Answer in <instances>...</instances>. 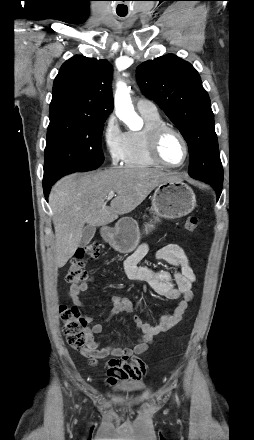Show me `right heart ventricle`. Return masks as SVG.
I'll return each instance as SVG.
<instances>
[{
  "label": "right heart ventricle",
  "mask_w": 254,
  "mask_h": 440,
  "mask_svg": "<svg viewBox=\"0 0 254 440\" xmlns=\"http://www.w3.org/2000/svg\"><path fill=\"white\" fill-rule=\"evenodd\" d=\"M145 122L141 130L127 132V144L123 163L127 167L150 168L161 167L152 160L148 151V138L150 131L165 124L159 113H141Z\"/></svg>",
  "instance_id": "e07e8e85"
}]
</instances>
